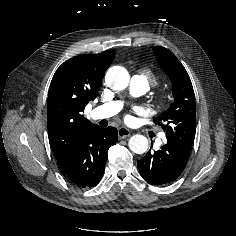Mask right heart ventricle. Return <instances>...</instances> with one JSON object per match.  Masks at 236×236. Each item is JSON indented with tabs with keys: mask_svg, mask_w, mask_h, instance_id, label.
<instances>
[{
	"mask_svg": "<svg viewBox=\"0 0 236 236\" xmlns=\"http://www.w3.org/2000/svg\"><path fill=\"white\" fill-rule=\"evenodd\" d=\"M138 76L144 79L149 85L154 84L156 82V77L150 69L143 70Z\"/></svg>",
	"mask_w": 236,
	"mask_h": 236,
	"instance_id": "right-heart-ventricle-1",
	"label": "right heart ventricle"
}]
</instances>
